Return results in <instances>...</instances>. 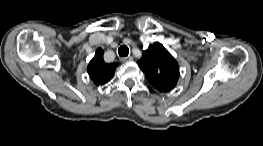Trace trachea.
<instances>
[{
    "mask_svg": "<svg viewBox=\"0 0 263 146\" xmlns=\"http://www.w3.org/2000/svg\"><path fill=\"white\" fill-rule=\"evenodd\" d=\"M118 54L120 57H126L128 56L129 54V48L125 45L121 46L119 49H118Z\"/></svg>",
    "mask_w": 263,
    "mask_h": 146,
    "instance_id": "trachea-1",
    "label": "trachea"
}]
</instances>
